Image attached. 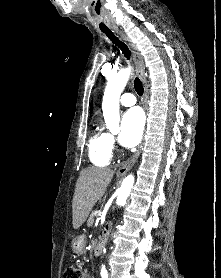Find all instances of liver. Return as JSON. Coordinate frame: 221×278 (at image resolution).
<instances>
[{"label":"liver","mask_w":221,"mask_h":278,"mask_svg":"<svg viewBox=\"0 0 221 278\" xmlns=\"http://www.w3.org/2000/svg\"><path fill=\"white\" fill-rule=\"evenodd\" d=\"M114 171L110 168L89 167L80 172L73 201V228L78 229L87 219L95 203L104 195Z\"/></svg>","instance_id":"obj_1"}]
</instances>
